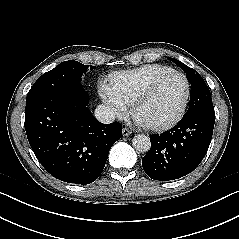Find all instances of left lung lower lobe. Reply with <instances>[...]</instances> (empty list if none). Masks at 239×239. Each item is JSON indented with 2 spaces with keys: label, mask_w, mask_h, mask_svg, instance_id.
I'll use <instances>...</instances> for the list:
<instances>
[{
  "label": "left lung lower lobe",
  "mask_w": 239,
  "mask_h": 239,
  "mask_svg": "<svg viewBox=\"0 0 239 239\" xmlns=\"http://www.w3.org/2000/svg\"><path fill=\"white\" fill-rule=\"evenodd\" d=\"M214 107L184 114L180 122L161 135H151V148L142 159L145 173L168 181L192 172L202 161L211 142Z\"/></svg>",
  "instance_id": "left-lung-lower-lobe-1"
}]
</instances>
